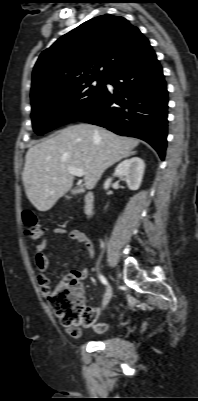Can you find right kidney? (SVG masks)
I'll use <instances>...</instances> for the list:
<instances>
[{
	"mask_svg": "<svg viewBox=\"0 0 198 401\" xmlns=\"http://www.w3.org/2000/svg\"><path fill=\"white\" fill-rule=\"evenodd\" d=\"M145 169L144 161L139 157H132L122 161L115 169L114 176H124L130 190L139 189ZM112 178H108L104 183V189L107 190L111 184Z\"/></svg>",
	"mask_w": 198,
	"mask_h": 401,
	"instance_id": "1",
	"label": "right kidney"
}]
</instances>
